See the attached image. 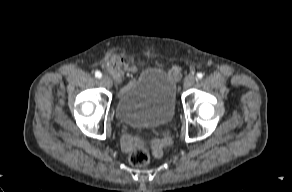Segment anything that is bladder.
Listing matches in <instances>:
<instances>
[{
	"instance_id": "obj_1",
	"label": "bladder",
	"mask_w": 292,
	"mask_h": 192,
	"mask_svg": "<svg viewBox=\"0 0 292 192\" xmlns=\"http://www.w3.org/2000/svg\"><path fill=\"white\" fill-rule=\"evenodd\" d=\"M173 79L162 69L147 68L130 80L116 103V117L132 126H158L169 123L175 114Z\"/></svg>"
}]
</instances>
